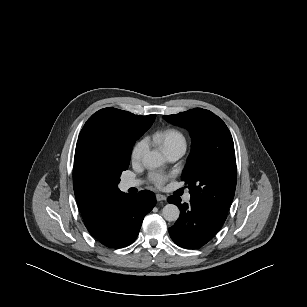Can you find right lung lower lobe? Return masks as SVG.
<instances>
[{"mask_svg": "<svg viewBox=\"0 0 307 307\" xmlns=\"http://www.w3.org/2000/svg\"><path fill=\"white\" fill-rule=\"evenodd\" d=\"M155 204L151 191L143 190L137 195L123 193L113 202L98 229L90 234L110 248L128 246L137 238L145 215Z\"/></svg>", "mask_w": 307, "mask_h": 307, "instance_id": "98d812e1", "label": "right lung lower lobe"}]
</instances>
